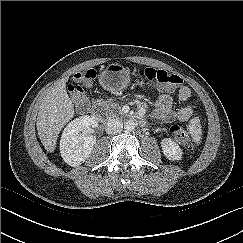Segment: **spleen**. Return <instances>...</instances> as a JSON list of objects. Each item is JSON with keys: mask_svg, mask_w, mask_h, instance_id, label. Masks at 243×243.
Listing matches in <instances>:
<instances>
[{"mask_svg": "<svg viewBox=\"0 0 243 243\" xmlns=\"http://www.w3.org/2000/svg\"><path fill=\"white\" fill-rule=\"evenodd\" d=\"M190 131L192 133L193 138L196 141H199L201 136V126L199 118H193L190 121Z\"/></svg>", "mask_w": 243, "mask_h": 243, "instance_id": "1", "label": "spleen"}]
</instances>
